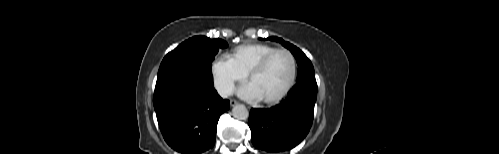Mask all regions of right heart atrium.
Returning <instances> with one entry per match:
<instances>
[{"instance_id": "1", "label": "right heart atrium", "mask_w": 499, "mask_h": 154, "mask_svg": "<svg viewBox=\"0 0 499 154\" xmlns=\"http://www.w3.org/2000/svg\"><path fill=\"white\" fill-rule=\"evenodd\" d=\"M210 73L214 88L222 96L229 95L235 83L243 81L247 75L226 55L212 60Z\"/></svg>"}]
</instances>
